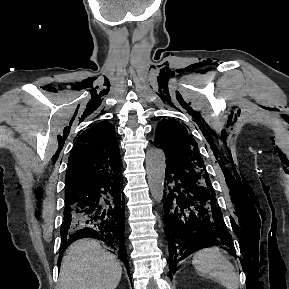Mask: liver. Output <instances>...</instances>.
Segmentation results:
<instances>
[{"mask_svg":"<svg viewBox=\"0 0 289 289\" xmlns=\"http://www.w3.org/2000/svg\"><path fill=\"white\" fill-rule=\"evenodd\" d=\"M122 267L92 239L75 241L63 256L57 289H115Z\"/></svg>","mask_w":289,"mask_h":289,"instance_id":"liver-1","label":"liver"}]
</instances>
